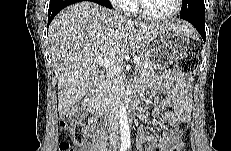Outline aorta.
Instances as JSON below:
<instances>
[{"label":"aorta","instance_id":"1","mask_svg":"<svg viewBox=\"0 0 231 151\" xmlns=\"http://www.w3.org/2000/svg\"><path fill=\"white\" fill-rule=\"evenodd\" d=\"M119 123H120V133L121 141L125 145L130 144V129L128 123V116L125 106L122 104L119 109Z\"/></svg>","mask_w":231,"mask_h":151}]
</instances>
